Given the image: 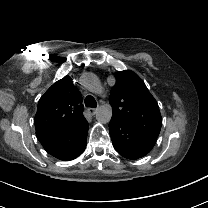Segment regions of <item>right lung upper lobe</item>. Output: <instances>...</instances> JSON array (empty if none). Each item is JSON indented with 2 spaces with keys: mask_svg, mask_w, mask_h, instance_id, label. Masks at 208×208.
Here are the masks:
<instances>
[{
  "mask_svg": "<svg viewBox=\"0 0 208 208\" xmlns=\"http://www.w3.org/2000/svg\"><path fill=\"white\" fill-rule=\"evenodd\" d=\"M83 120L81 94L72 79L65 76L55 82L38 102L34 118L36 136L64 132Z\"/></svg>",
  "mask_w": 208,
  "mask_h": 208,
  "instance_id": "1",
  "label": "right lung upper lobe"
}]
</instances>
